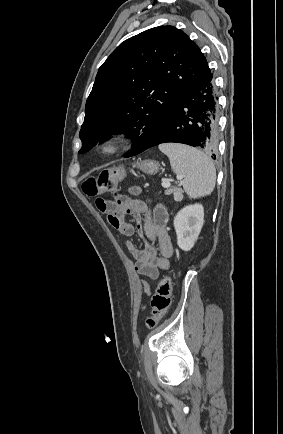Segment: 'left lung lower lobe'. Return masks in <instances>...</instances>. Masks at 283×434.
Listing matches in <instances>:
<instances>
[{
  "label": "left lung lower lobe",
  "mask_w": 283,
  "mask_h": 434,
  "mask_svg": "<svg viewBox=\"0 0 283 434\" xmlns=\"http://www.w3.org/2000/svg\"><path fill=\"white\" fill-rule=\"evenodd\" d=\"M167 142L183 143L211 152L216 150L218 97L211 71L180 95L146 149Z\"/></svg>",
  "instance_id": "obj_1"
}]
</instances>
